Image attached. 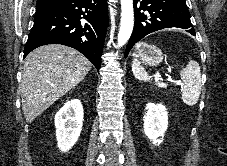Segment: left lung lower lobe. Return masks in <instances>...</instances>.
<instances>
[{
  "label": "left lung lower lobe",
  "mask_w": 227,
  "mask_h": 166,
  "mask_svg": "<svg viewBox=\"0 0 227 166\" xmlns=\"http://www.w3.org/2000/svg\"><path fill=\"white\" fill-rule=\"evenodd\" d=\"M134 10L135 24L125 57L136 42L157 30L176 27L187 29L195 36L186 0H134ZM141 10L148 11L149 15H144Z\"/></svg>",
  "instance_id": "left-lung-lower-lobe-1"
}]
</instances>
